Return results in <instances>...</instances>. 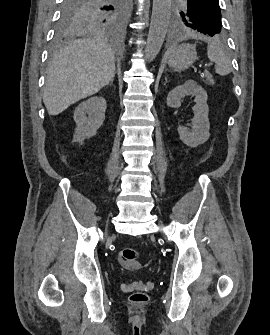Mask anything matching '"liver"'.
<instances>
[{"mask_svg":"<svg viewBox=\"0 0 270 335\" xmlns=\"http://www.w3.org/2000/svg\"><path fill=\"white\" fill-rule=\"evenodd\" d=\"M114 62L108 40L83 38L64 46L47 70L43 102L49 116L107 86L115 76Z\"/></svg>","mask_w":270,"mask_h":335,"instance_id":"liver-1","label":"liver"}]
</instances>
